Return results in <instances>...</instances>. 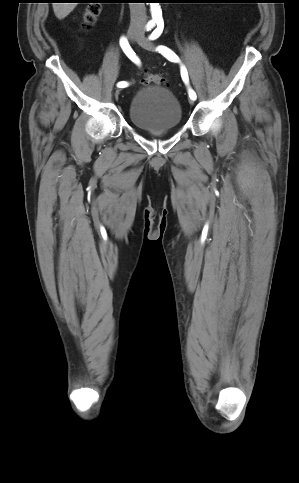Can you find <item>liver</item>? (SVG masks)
I'll list each match as a JSON object with an SVG mask.
<instances>
[{"mask_svg":"<svg viewBox=\"0 0 299 483\" xmlns=\"http://www.w3.org/2000/svg\"><path fill=\"white\" fill-rule=\"evenodd\" d=\"M77 3H53V10L58 19H64L76 7Z\"/></svg>","mask_w":299,"mask_h":483,"instance_id":"obj_1","label":"liver"}]
</instances>
